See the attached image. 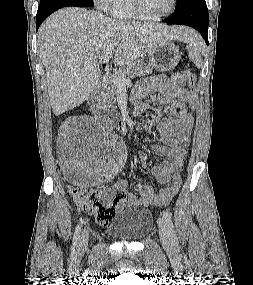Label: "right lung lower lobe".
Returning <instances> with one entry per match:
<instances>
[{
    "instance_id": "right-lung-lower-lobe-1",
    "label": "right lung lower lobe",
    "mask_w": 253,
    "mask_h": 285,
    "mask_svg": "<svg viewBox=\"0 0 253 285\" xmlns=\"http://www.w3.org/2000/svg\"><path fill=\"white\" fill-rule=\"evenodd\" d=\"M68 6H77V7H87L78 4H64L57 2H46L39 5L37 16H36V30H38L41 23L54 11Z\"/></svg>"
}]
</instances>
